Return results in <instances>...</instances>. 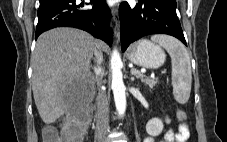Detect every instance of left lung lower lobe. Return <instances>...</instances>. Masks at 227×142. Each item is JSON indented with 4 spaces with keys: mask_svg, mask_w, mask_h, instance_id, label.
<instances>
[{
    "mask_svg": "<svg viewBox=\"0 0 227 142\" xmlns=\"http://www.w3.org/2000/svg\"><path fill=\"white\" fill-rule=\"evenodd\" d=\"M119 15L123 52L130 43L150 34H168L186 45L175 0H138L135 7L123 2Z\"/></svg>",
    "mask_w": 227,
    "mask_h": 142,
    "instance_id": "obj_1",
    "label": "left lung lower lobe"
}]
</instances>
